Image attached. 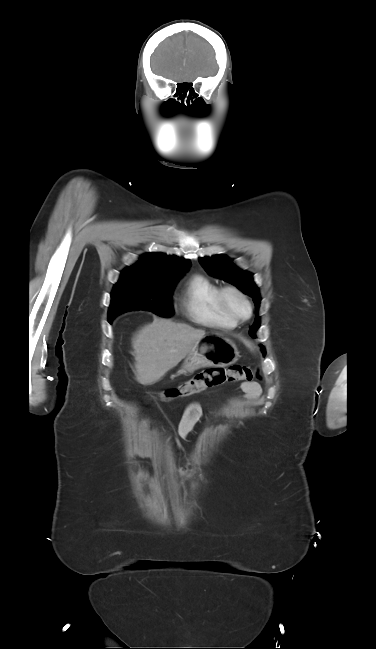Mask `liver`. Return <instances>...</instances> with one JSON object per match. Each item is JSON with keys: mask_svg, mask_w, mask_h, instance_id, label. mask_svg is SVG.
<instances>
[{"mask_svg": "<svg viewBox=\"0 0 376 649\" xmlns=\"http://www.w3.org/2000/svg\"><path fill=\"white\" fill-rule=\"evenodd\" d=\"M204 335V330L163 318L144 326L132 339L137 382L142 385L158 382Z\"/></svg>", "mask_w": 376, "mask_h": 649, "instance_id": "6515ba94", "label": "liver"}]
</instances>
